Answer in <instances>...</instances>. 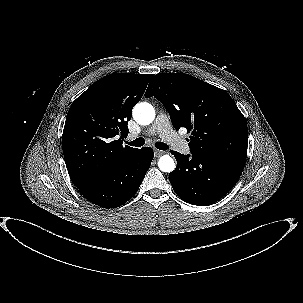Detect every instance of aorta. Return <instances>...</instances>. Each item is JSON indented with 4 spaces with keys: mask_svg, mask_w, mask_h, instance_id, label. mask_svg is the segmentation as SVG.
I'll return each mask as SVG.
<instances>
[{
    "mask_svg": "<svg viewBox=\"0 0 303 303\" xmlns=\"http://www.w3.org/2000/svg\"><path fill=\"white\" fill-rule=\"evenodd\" d=\"M133 118L140 125H149L155 119V110L149 103H138L133 109ZM158 167L162 172L169 173L175 169V163L172 157L163 155L158 161Z\"/></svg>",
    "mask_w": 303,
    "mask_h": 303,
    "instance_id": "1",
    "label": "aorta"
}]
</instances>
